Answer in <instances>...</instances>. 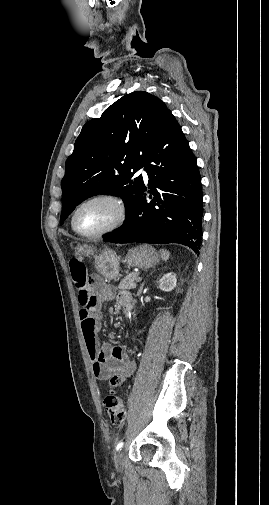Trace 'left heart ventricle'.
<instances>
[{
	"instance_id": "left-heart-ventricle-1",
	"label": "left heart ventricle",
	"mask_w": 269,
	"mask_h": 505,
	"mask_svg": "<svg viewBox=\"0 0 269 505\" xmlns=\"http://www.w3.org/2000/svg\"><path fill=\"white\" fill-rule=\"evenodd\" d=\"M117 216L116 206L106 200H97L83 206L76 217L77 228L94 233L110 225Z\"/></svg>"
}]
</instances>
